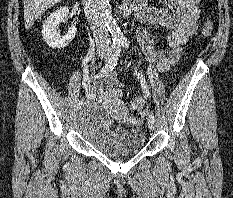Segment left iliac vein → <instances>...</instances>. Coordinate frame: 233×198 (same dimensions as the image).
Listing matches in <instances>:
<instances>
[{
	"mask_svg": "<svg viewBox=\"0 0 233 198\" xmlns=\"http://www.w3.org/2000/svg\"><path fill=\"white\" fill-rule=\"evenodd\" d=\"M147 125L150 129H154L155 128V120H153L152 118L148 117L147 118Z\"/></svg>",
	"mask_w": 233,
	"mask_h": 198,
	"instance_id": "1",
	"label": "left iliac vein"
}]
</instances>
